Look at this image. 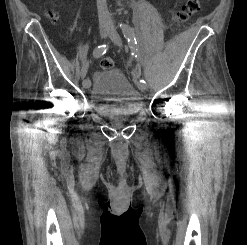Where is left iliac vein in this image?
<instances>
[{"mask_svg": "<svg viewBox=\"0 0 247 245\" xmlns=\"http://www.w3.org/2000/svg\"><path fill=\"white\" fill-rule=\"evenodd\" d=\"M109 37L110 39L113 41V43L119 47L122 46V41H121V38L119 36V34L117 33L116 29L114 27H111L110 29V33H109ZM138 87L140 90H146L148 88L147 85H141V84H138Z\"/></svg>", "mask_w": 247, "mask_h": 245, "instance_id": "left-iliac-vein-1", "label": "left iliac vein"}]
</instances>
